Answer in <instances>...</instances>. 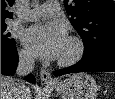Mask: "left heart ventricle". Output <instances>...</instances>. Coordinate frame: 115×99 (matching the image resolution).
<instances>
[{
	"label": "left heart ventricle",
	"mask_w": 115,
	"mask_h": 99,
	"mask_svg": "<svg viewBox=\"0 0 115 99\" xmlns=\"http://www.w3.org/2000/svg\"><path fill=\"white\" fill-rule=\"evenodd\" d=\"M70 52H71V47H70L69 43L67 42V44H66V46H65V48H64V51H63V53H62L61 56H66V55H68ZM61 56H60V57H61Z\"/></svg>",
	"instance_id": "1"
}]
</instances>
